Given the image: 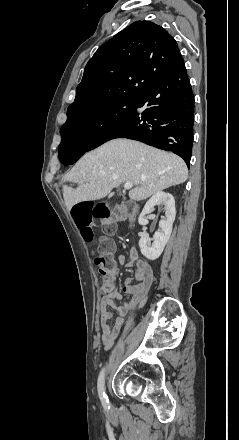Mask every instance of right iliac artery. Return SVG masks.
Returning a JSON list of instances; mask_svg holds the SVG:
<instances>
[{
  "label": "right iliac artery",
  "mask_w": 239,
  "mask_h": 440,
  "mask_svg": "<svg viewBox=\"0 0 239 440\" xmlns=\"http://www.w3.org/2000/svg\"><path fill=\"white\" fill-rule=\"evenodd\" d=\"M98 394L104 408H110L109 400L105 394V369L103 368L98 378Z\"/></svg>",
  "instance_id": "82829eb1"
}]
</instances>
